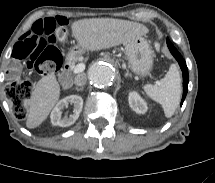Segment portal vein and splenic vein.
Wrapping results in <instances>:
<instances>
[{
  "label": "portal vein and splenic vein",
  "mask_w": 215,
  "mask_h": 183,
  "mask_svg": "<svg viewBox=\"0 0 215 183\" xmlns=\"http://www.w3.org/2000/svg\"><path fill=\"white\" fill-rule=\"evenodd\" d=\"M85 70V64L84 63H79L77 64L74 69H73V72L75 74H78V73H81Z\"/></svg>",
  "instance_id": "18ae733b"
}]
</instances>
